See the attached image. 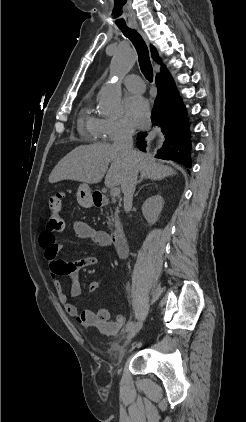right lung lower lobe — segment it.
I'll return each instance as SVG.
<instances>
[{
  "instance_id": "obj_1",
  "label": "right lung lower lobe",
  "mask_w": 246,
  "mask_h": 422,
  "mask_svg": "<svg viewBox=\"0 0 246 422\" xmlns=\"http://www.w3.org/2000/svg\"><path fill=\"white\" fill-rule=\"evenodd\" d=\"M156 85L158 93L152 110L151 121L161 127L164 135V142L156 157L172 160L186 168H191V141L186 109L170 76L156 77ZM146 135L145 132L137 134V146L142 151L146 150Z\"/></svg>"
}]
</instances>
